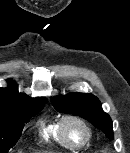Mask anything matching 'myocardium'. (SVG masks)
I'll list each match as a JSON object with an SVG mask.
<instances>
[{"label": "myocardium", "mask_w": 130, "mask_h": 153, "mask_svg": "<svg viewBox=\"0 0 130 153\" xmlns=\"http://www.w3.org/2000/svg\"><path fill=\"white\" fill-rule=\"evenodd\" d=\"M71 122L79 124L85 133V139L79 145L72 143L67 136L66 127ZM60 132H61L62 138H63L64 142L66 143V145L70 149H75V150L82 149L83 147H85L89 143L90 138H91V130H90V127L87 124V122L82 117L75 115V114L66 115L61 119Z\"/></svg>", "instance_id": "1"}]
</instances>
